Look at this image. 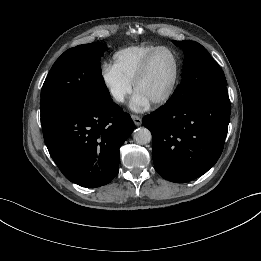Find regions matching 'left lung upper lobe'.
I'll use <instances>...</instances> for the list:
<instances>
[{
    "instance_id": "1",
    "label": "left lung upper lobe",
    "mask_w": 261,
    "mask_h": 261,
    "mask_svg": "<svg viewBox=\"0 0 261 261\" xmlns=\"http://www.w3.org/2000/svg\"><path fill=\"white\" fill-rule=\"evenodd\" d=\"M173 43L184 50L185 59L182 81L169 102L184 104L203 92L226 87L222 69L201 44L189 40Z\"/></svg>"
}]
</instances>
